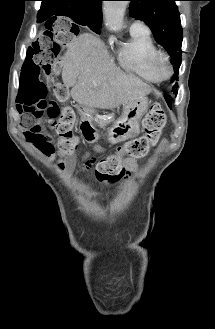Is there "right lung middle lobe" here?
Masks as SVG:
<instances>
[{
  "mask_svg": "<svg viewBox=\"0 0 215 329\" xmlns=\"http://www.w3.org/2000/svg\"><path fill=\"white\" fill-rule=\"evenodd\" d=\"M65 16V15H63ZM68 17H70L75 23L79 24V25H86L88 26L92 31L96 32L97 34H100V28H101V23L100 22H87L86 20H84L82 18V16L78 15V14H68ZM42 22V21H40ZM74 28H76V31H74L75 34H77L78 30H77V25L73 24Z\"/></svg>",
  "mask_w": 215,
  "mask_h": 329,
  "instance_id": "1",
  "label": "right lung middle lobe"
}]
</instances>
